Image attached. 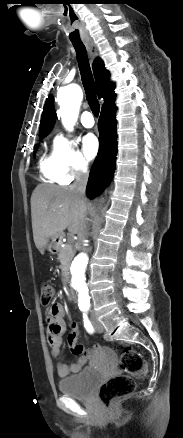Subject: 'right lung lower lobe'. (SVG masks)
I'll use <instances>...</instances> for the list:
<instances>
[{
    "label": "right lung lower lobe",
    "instance_id": "right-lung-lower-lobe-1",
    "mask_svg": "<svg viewBox=\"0 0 183 438\" xmlns=\"http://www.w3.org/2000/svg\"><path fill=\"white\" fill-rule=\"evenodd\" d=\"M116 107L113 103L101 110L99 130V151L90 170L86 193L91 199L98 195L110 183L116 164L117 154V131H116Z\"/></svg>",
    "mask_w": 183,
    "mask_h": 438
}]
</instances>
